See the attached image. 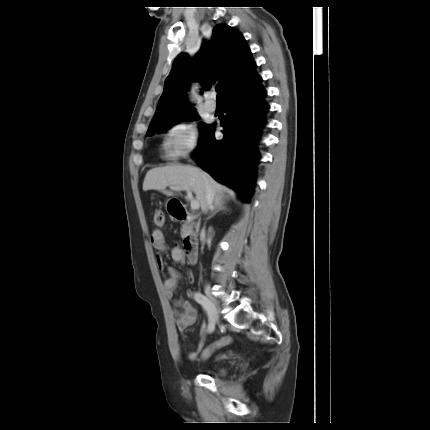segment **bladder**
Here are the masks:
<instances>
[{
    "instance_id": "obj_1",
    "label": "bladder",
    "mask_w": 430,
    "mask_h": 430,
    "mask_svg": "<svg viewBox=\"0 0 430 430\" xmlns=\"http://www.w3.org/2000/svg\"><path fill=\"white\" fill-rule=\"evenodd\" d=\"M225 372H226V370H225V369H223V368H221V369L216 370L214 373H215V374H218V375H222V374H224Z\"/></svg>"
}]
</instances>
